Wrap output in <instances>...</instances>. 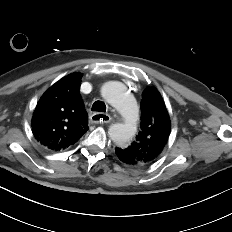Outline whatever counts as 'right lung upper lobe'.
Wrapping results in <instances>:
<instances>
[{
  "instance_id": "right-lung-upper-lobe-1",
  "label": "right lung upper lobe",
  "mask_w": 232,
  "mask_h": 232,
  "mask_svg": "<svg viewBox=\"0 0 232 232\" xmlns=\"http://www.w3.org/2000/svg\"><path fill=\"white\" fill-rule=\"evenodd\" d=\"M82 75L69 74L53 84L40 98L31 127L35 139L60 151L75 144L88 130V116L79 94Z\"/></svg>"
}]
</instances>
